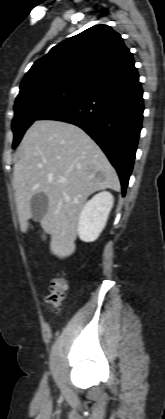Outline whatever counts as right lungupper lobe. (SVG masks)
<instances>
[{
	"instance_id": "obj_1",
	"label": "right lung upper lobe",
	"mask_w": 165,
	"mask_h": 419,
	"mask_svg": "<svg viewBox=\"0 0 165 419\" xmlns=\"http://www.w3.org/2000/svg\"><path fill=\"white\" fill-rule=\"evenodd\" d=\"M134 67L132 53L107 25H96L73 36L37 60L25 75L20 97L49 87L91 92Z\"/></svg>"
}]
</instances>
